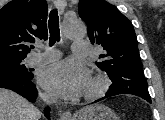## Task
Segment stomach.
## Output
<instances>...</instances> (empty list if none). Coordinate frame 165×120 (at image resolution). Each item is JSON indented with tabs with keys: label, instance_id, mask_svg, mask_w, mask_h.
<instances>
[{
	"label": "stomach",
	"instance_id": "1",
	"mask_svg": "<svg viewBox=\"0 0 165 120\" xmlns=\"http://www.w3.org/2000/svg\"><path fill=\"white\" fill-rule=\"evenodd\" d=\"M77 120H119L115 112L103 104L91 105L83 109Z\"/></svg>",
	"mask_w": 165,
	"mask_h": 120
}]
</instances>
